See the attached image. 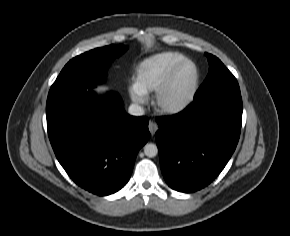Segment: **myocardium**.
<instances>
[{"label": "myocardium", "mask_w": 290, "mask_h": 236, "mask_svg": "<svg viewBox=\"0 0 290 236\" xmlns=\"http://www.w3.org/2000/svg\"><path fill=\"white\" fill-rule=\"evenodd\" d=\"M187 65H191L194 68V81L191 87L190 92L180 101L176 103H166L164 102V97L171 88L176 76L179 72ZM200 86V71L197 64L190 60L185 59L179 64H177L174 69L171 71L170 75L166 79V81L155 91L152 103L155 107L156 111L163 115H174L185 110L194 100L197 95Z\"/></svg>", "instance_id": "f54148a6"}]
</instances>
